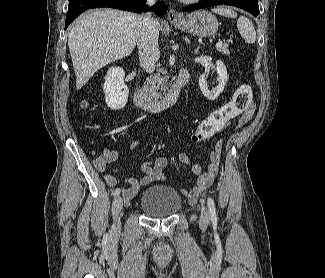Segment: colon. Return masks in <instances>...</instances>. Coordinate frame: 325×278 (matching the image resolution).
<instances>
[{"mask_svg": "<svg viewBox=\"0 0 325 278\" xmlns=\"http://www.w3.org/2000/svg\"><path fill=\"white\" fill-rule=\"evenodd\" d=\"M252 97L253 92L249 85L239 86L230 101L214 110L198 125L192 140L201 141L212 137L233 118L248 109L252 105Z\"/></svg>", "mask_w": 325, "mask_h": 278, "instance_id": "obj_1", "label": "colon"}]
</instances>
